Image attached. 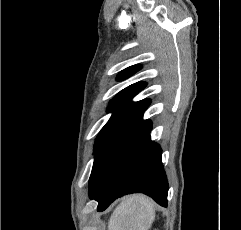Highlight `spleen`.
<instances>
[{
  "label": "spleen",
  "mask_w": 241,
  "mask_h": 230,
  "mask_svg": "<svg viewBox=\"0 0 241 230\" xmlns=\"http://www.w3.org/2000/svg\"><path fill=\"white\" fill-rule=\"evenodd\" d=\"M154 219L153 201L144 195H131L113 211L108 230H148Z\"/></svg>",
  "instance_id": "obj_1"
}]
</instances>
